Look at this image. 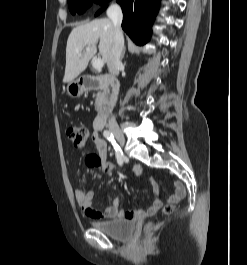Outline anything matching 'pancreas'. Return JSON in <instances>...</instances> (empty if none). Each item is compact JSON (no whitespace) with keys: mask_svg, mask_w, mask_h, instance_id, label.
<instances>
[{"mask_svg":"<svg viewBox=\"0 0 247 265\" xmlns=\"http://www.w3.org/2000/svg\"><path fill=\"white\" fill-rule=\"evenodd\" d=\"M103 87H101V90L96 94V98H95V109L97 111L100 110V108L102 107V105L104 104L105 102V95H104V92H103Z\"/></svg>","mask_w":247,"mask_h":265,"instance_id":"1","label":"pancreas"}]
</instances>
